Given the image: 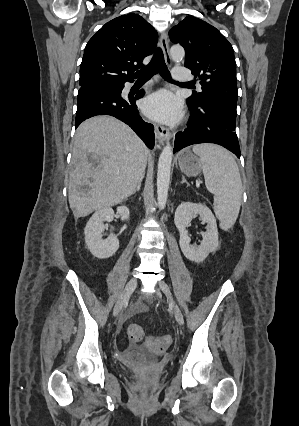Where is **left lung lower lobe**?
Instances as JSON below:
<instances>
[{
  "mask_svg": "<svg viewBox=\"0 0 299 426\" xmlns=\"http://www.w3.org/2000/svg\"><path fill=\"white\" fill-rule=\"evenodd\" d=\"M191 108L188 129L176 134L174 153L199 143L219 144L240 158V147L235 132L236 113L227 107L210 103Z\"/></svg>",
  "mask_w": 299,
  "mask_h": 426,
  "instance_id": "left-lung-lower-lobe-1",
  "label": "left lung lower lobe"
}]
</instances>
